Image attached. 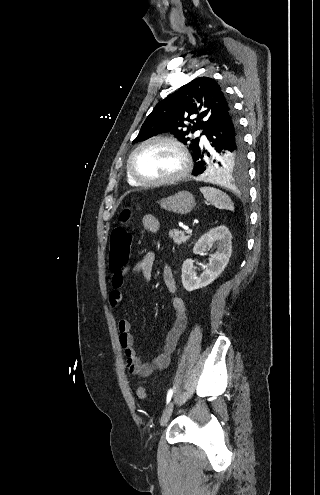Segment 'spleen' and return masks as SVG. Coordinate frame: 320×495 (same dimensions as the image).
<instances>
[{"instance_id": "1", "label": "spleen", "mask_w": 320, "mask_h": 495, "mask_svg": "<svg viewBox=\"0 0 320 495\" xmlns=\"http://www.w3.org/2000/svg\"><path fill=\"white\" fill-rule=\"evenodd\" d=\"M200 190L204 198L216 208L234 211V205L226 193L213 187H202Z\"/></svg>"}]
</instances>
